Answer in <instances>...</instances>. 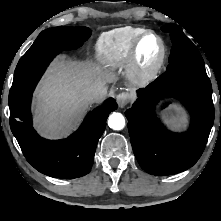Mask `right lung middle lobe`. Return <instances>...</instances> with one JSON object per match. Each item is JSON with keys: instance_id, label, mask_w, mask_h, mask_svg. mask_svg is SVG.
I'll use <instances>...</instances> for the list:
<instances>
[{"instance_id": "obj_1", "label": "right lung middle lobe", "mask_w": 221, "mask_h": 221, "mask_svg": "<svg viewBox=\"0 0 221 221\" xmlns=\"http://www.w3.org/2000/svg\"><path fill=\"white\" fill-rule=\"evenodd\" d=\"M91 35L87 27H54L42 31L15 69L9 106L30 95L51 60L63 50L80 47Z\"/></svg>"}]
</instances>
